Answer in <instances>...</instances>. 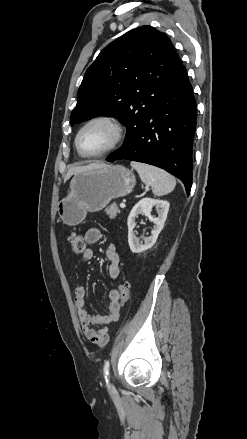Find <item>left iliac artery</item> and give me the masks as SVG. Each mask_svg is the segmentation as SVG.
Masks as SVG:
<instances>
[{"label": "left iliac artery", "mask_w": 247, "mask_h": 439, "mask_svg": "<svg viewBox=\"0 0 247 439\" xmlns=\"http://www.w3.org/2000/svg\"><path fill=\"white\" fill-rule=\"evenodd\" d=\"M103 371H104L105 381L108 382L109 381V372H110V362H109V360L105 361L104 367H103Z\"/></svg>", "instance_id": "1"}]
</instances>
